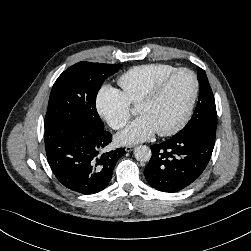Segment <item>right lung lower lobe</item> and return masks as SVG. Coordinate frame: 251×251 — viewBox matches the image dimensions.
I'll list each match as a JSON object with an SVG mask.
<instances>
[{"mask_svg": "<svg viewBox=\"0 0 251 251\" xmlns=\"http://www.w3.org/2000/svg\"><path fill=\"white\" fill-rule=\"evenodd\" d=\"M111 133L85 122L67 120L45 129V150L59 182L80 194H94L109 184L118 159L126 152L117 148L103 152Z\"/></svg>", "mask_w": 251, "mask_h": 251, "instance_id": "1", "label": "right lung lower lobe"}]
</instances>
